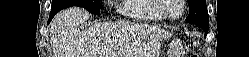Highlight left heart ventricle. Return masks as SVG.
I'll list each match as a JSON object with an SVG mask.
<instances>
[{"label":"left heart ventricle","mask_w":249,"mask_h":57,"mask_svg":"<svg viewBox=\"0 0 249 57\" xmlns=\"http://www.w3.org/2000/svg\"><path fill=\"white\" fill-rule=\"evenodd\" d=\"M169 7L167 9V13L171 16L177 15L180 12V4L178 0H168Z\"/></svg>","instance_id":"left-heart-ventricle-1"}]
</instances>
